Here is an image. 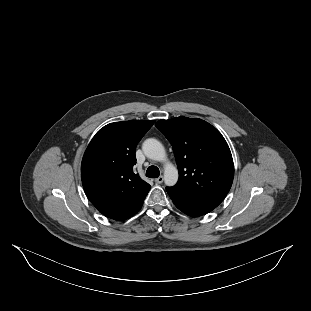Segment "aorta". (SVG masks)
<instances>
[{
	"mask_svg": "<svg viewBox=\"0 0 311 311\" xmlns=\"http://www.w3.org/2000/svg\"><path fill=\"white\" fill-rule=\"evenodd\" d=\"M143 151L148 159L162 164L165 183L174 185L178 180V169L169 160L164 146L156 139H147L143 144Z\"/></svg>",
	"mask_w": 311,
	"mask_h": 311,
	"instance_id": "762f6f07",
	"label": "aorta"
}]
</instances>
